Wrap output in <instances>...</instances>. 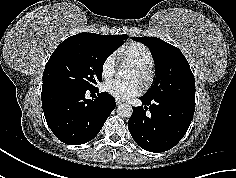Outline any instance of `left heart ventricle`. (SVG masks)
<instances>
[{"mask_svg":"<svg viewBox=\"0 0 236 178\" xmlns=\"http://www.w3.org/2000/svg\"><path fill=\"white\" fill-rule=\"evenodd\" d=\"M130 78H134V79H138L139 78V74L137 72V70L135 68L132 69L131 73H130Z\"/></svg>","mask_w":236,"mask_h":178,"instance_id":"obj_1","label":"left heart ventricle"}]
</instances>
